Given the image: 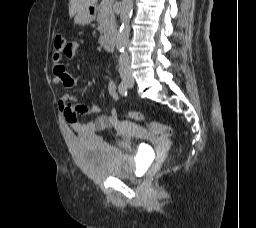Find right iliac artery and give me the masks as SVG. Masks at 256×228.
<instances>
[{
    "instance_id": "1",
    "label": "right iliac artery",
    "mask_w": 256,
    "mask_h": 228,
    "mask_svg": "<svg viewBox=\"0 0 256 228\" xmlns=\"http://www.w3.org/2000/svg\"><path fill=\"white\" fill-rule=\"evenodd\" d=\"M118 91L119 93L122 95V96H126L127 93H128V86L127 84L122 81L120 84H119V87H118Z\"/></svg>"
}]
</instances>
